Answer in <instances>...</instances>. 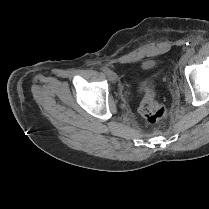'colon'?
I'll return each mask as SVG.
<instances>
[{"label": "colon", "mask_w": 209, "mask_h": 209, "mask_svg": "<svg viewBox=\"0 0 209 209\" xmlns=\"http://www.w3.org/2000/svg\"><path fill=\"white\" fill-rule=\"evenodd\" d=\"M142 100L139 112L150 124L160 122L167 118L169 110L160 104L155 98V87L152 82H143L140 86Z\"/></svg>", "instance_id": "obj_1"}]
</instances>
